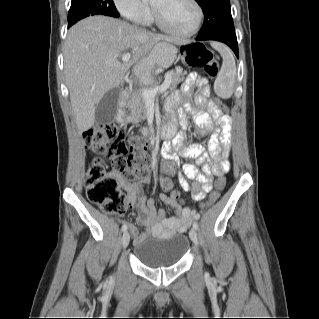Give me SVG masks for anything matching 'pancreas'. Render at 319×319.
Returning <instances> with one entry per match:
<instances>
[{
    "instance_id": "cf45deb5",
    "label": "pancreas",
    "mask_w": 319,
    "mask_h": 319,
    "mask_svg": "<svg viewBox=\"0 0 319 319\" xmlns=\"http://www.w3.org/2000/svg\"><path fill=\"white\" fill-rule=\"evenodd\" d=\"M170 91L176 89V87L181 83L185 78L184 75L186 72H183L182 68L177 67L175 70H171L170 72ZM158 87V83L153 81L150 84V89H154ZM128 108L130 109V114L128 117V121L133 124H138L139 122H143L146 119V100L140 91L131 92V98L128 101Z\"/></svg>"
}]
</instances>
